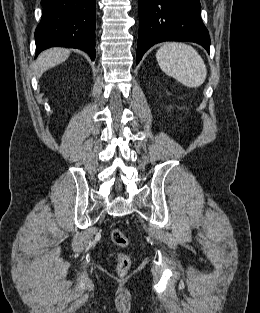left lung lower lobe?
<instances>
[{
    "mask_svg": "<svg viewBox=\"0 0 260 313\" xmlns=\"http://www.w3.org/2000/svg\"><path fill=\"white\" fill-rule=\"evenodd\" d=\"M200 12L199 0H139L137 64L151 46L163 41L195 42L209 52V32Z\"/></svg>",
    "mask_w": 260,
    "mask_h": 313,
    "instance_id": "left-lung-lower-lobe-1",
    "label": "left lung lower lobe"
}]
</instances>
